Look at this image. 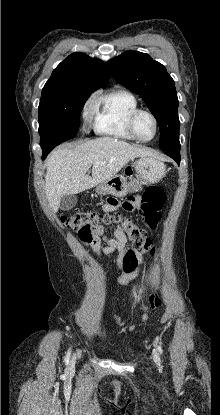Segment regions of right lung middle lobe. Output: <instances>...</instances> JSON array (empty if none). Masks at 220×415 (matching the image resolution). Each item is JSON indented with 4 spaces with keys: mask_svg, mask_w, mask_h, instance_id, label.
<instances>
[{
    "mask_svg": "<svg viewBox=\"0 0 220 415\" xmlns=\"http://www.w3.org/2000/svg\"><path fill=\"white\" fill-rule=\"evenodd\" d=\"M92 92L43 88L39 104V133L42 149L54 148L77 135L80 113Z\"/></svg>",
    "mask_w": 220,
    "mask_h": 415,
    "instance_id": "obj_1",
    "label": "right lung middle lobe"
}]
</instances>
